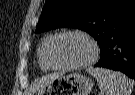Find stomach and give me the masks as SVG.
Listing matches in <instances>:
<instances>
[{
  "instance_id": "obj_1",
  "label": "stomach",
  "mask_w": 135,
  "mask_h": 95,
  "mask_svg": "<svg viewBox=\"0 0 135 95\" xmlns=\"http://www.w3.org/2000/svg\"><path fill=\"white\" fill-rule=\"evenodd\" d=\"M93 86L94 82L91 78L72 73L51 80L36 95H90Z\"/></svg>"
}]
</instances>
